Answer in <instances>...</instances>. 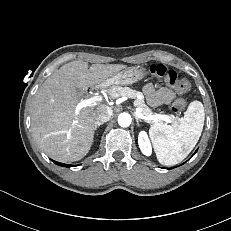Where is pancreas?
I'll use <instances>...</instances> for the list:
<instances>
[{
    "instance_id": "obj_1",
    "label": "pancreas",
    "mask_w": 231,
    "mask_h": 231,
    "mask_svg": "<svg viewBox=\"0 0 231 231\" xmlns=\"http://www.w3.org/2000/svg\"><path fill=\"white\" fill-rule=\"evenodd\" d=\"M106 92L112 98H118V97H121V96H127L129 98H134V99H136L134 101V105L141 109L142 115L151 116L153 114L152 110L149 109L145 105L143 99H137V96L141 95V92L130 89L128 87H121V86H110L108 89H106ZM169 118L171 119V121L175 120V117L172 116V115L169 116ZM147 122L152 123V121H150V120L147 121Z\"/></svg>"
}]
</instances>
